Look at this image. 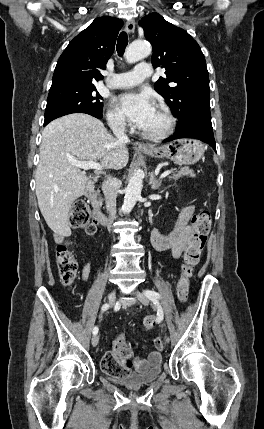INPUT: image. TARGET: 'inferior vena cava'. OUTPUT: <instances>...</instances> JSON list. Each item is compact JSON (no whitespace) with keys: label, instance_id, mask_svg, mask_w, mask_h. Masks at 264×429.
I'll return each instance as SVG.
<instances>
[{"label":"inferior vena cava","instance_id":"602c4592","mask_svg":"<svg viewBox=\"0 0 264 429\" xmlns=\"http://www.w3.org/2000/svg\"><path fill=\"white\" fill-rule=\"evenodd\" d=\"M112 130L116 138L120 143H128L129 138L125 133V127L123 120L116 119L112 124ZM116 179L108 177L104 180L102 185V191L105 196L106 209L109 213L108 223L110 228H116L114 222H117L119 215L116 213V188H115Z\"/></svg>","mask_w":264,"mask_h":429}]
</instances>
